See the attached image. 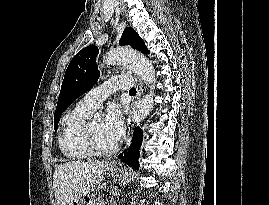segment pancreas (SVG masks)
Returning a JSON list of instances; mask_svg holds the SVG:
<instances>
[{
  "mask_svg": "<svg viewBox=\"0 0 269 205\" xmlns=\"http://www.w3.org/2000/svg\"><path fill=\"white\" fill-rule=\"evenodd\" d=\"M97 205H103V204H101V202H98Z\"/></svg>",
  "mask_w": 269,
  "mask_h": 205,
  "instance_id": "obj_1",
  "label": "pancreas"
}]
</instances>
